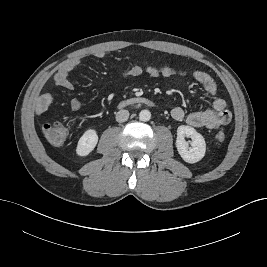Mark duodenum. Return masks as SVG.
I'll list each match as a JSON object with an SVG mask.
<instances>
[{
  "instance_id": "1",
  "label": "duodenum",
  "mask_w": 267,
  "mask_h": 267,
  "mask_svg": "<svg viewBox=\"0 0 267 267\" xmlns=\"http://www.w3.org/2000/svg\"><path fill=\"white\" fill-rule=\"evenodd\" d=\"M141 104L152 106L153 102L151 99L147 97H134V98L123 101L120 104V106H134V105H141Z\"/></svg>"
}]
</instances>
